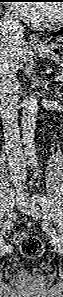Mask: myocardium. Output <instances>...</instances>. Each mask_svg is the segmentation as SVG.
Returning <instances> with one entry per match:
<instances>
[{
  "instance_id": "f54148a6",
  "label": "myocardium",
  "mask_w": 63,
  "mask_h": 297,
  "mask_svg": "<svg viewBox=\"0 0 63 297\" xmlns=\"http://www.w3.org/2000/svg\"><path fill=\"white\" fill-rule=\"evenodd\" d=\"M57 9V16L53 21H49L46 23H43V27L47 28V29H54L56 27H58L61 24L62 21V16H63V12H62V7L61 6H54Z\"/></svg>"
}]
</instances>
